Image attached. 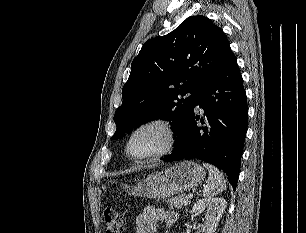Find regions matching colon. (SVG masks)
<instances>
[{
  "label": "colon",
  "instance_id": "5ec220e1",
  "mask_svg": "<svg viewBox=\"0 0 306 233\" xmlns=\"http://www.w3.org/2000/svg\"><path fill=\"white\" fill-rule=\"evenodd\" d=\"M106 233H122L125 221L122 214L115 208H107L103 215Z\"/></svg>",
  "mask_w": 306,
  "mask_h": 233
}]
</instances>
